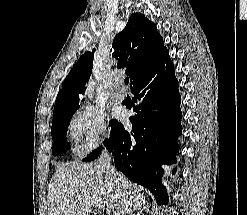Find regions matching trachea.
<instances>
[{
  "label": "trachea",
  "mask_w": 247,
  "mask_h": 215,
  "mask_svg": "<svg viewBox=\"0 0 247 215\" xmlns=\"http://www.w3.org/2000/svg\"><path fill=\"white\" fill-rule=\"evenodd\" d=\"M125 84H128L129 83V78L126 77L125 80H124Z\"/></svg>",
  "instance_id": "trachea-1"
}]
</instances>
